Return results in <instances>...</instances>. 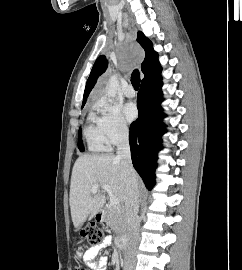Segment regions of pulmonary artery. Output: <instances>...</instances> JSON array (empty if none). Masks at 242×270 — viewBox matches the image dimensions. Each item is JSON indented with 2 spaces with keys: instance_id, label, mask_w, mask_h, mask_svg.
<instances>
[{
  "instance_id": "1",
  "label": "pulmonary artery",
  "mask_w": 242,
  "mask_h": 270,
  "mask_svg": "<svg viewBox=\"0 0 242 270\" xmlns=\"http://www.w3.org/2000/svg\"><path fill=\"white\" fill-rule=\"evenodd\" d=\"M124 94L128 97V98H133L136 95L135 89L133 88V86L129 85L125 88L124 90Z\"/></svg>"
}]
</instances>
